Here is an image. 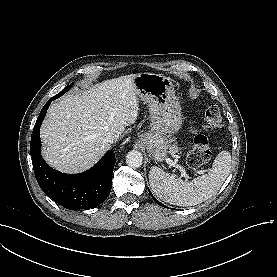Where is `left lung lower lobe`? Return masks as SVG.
Returning a JSON list of instances; mask_svg holds the SVG:
<instances>
[{
	"label": "left lung lower lobe",
	"mask_w": 277,
	"mask_h": 277,
	"mask_svg": "<svg viewBox=\"0 0 277 277\" xmlns=\"http://www.w3.org/2000/svg\"><path fill=\"white\" fill-rule=\"evenodd\" d=\"M149 192H150V191H149ZM150 195L152 196V198L154 199V201H155L157 204H159V205L165 207V205H163L161 202H159V201L151 194V192H150Z\"/></svg>",
	"instance_id": "0a47b994"
}]
</instances>
